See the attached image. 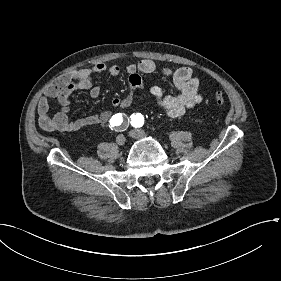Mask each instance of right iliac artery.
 <instances>
[{"mask_svg": "<svg viewBox=\"0 0 281 281\" xmlns=\"http://www.w3.org/2000/svg\"><path fill=\"white\" fill-rule=\"evenodd\" d=\"M110 126L117 132L125 131L129 126V118L125 114L117 113L110 119Z\"/></svg>", "mask_w": 281, "mask_h": 281, "instance_id": "1", "label": "right iliac artery"}]
</instances>
